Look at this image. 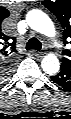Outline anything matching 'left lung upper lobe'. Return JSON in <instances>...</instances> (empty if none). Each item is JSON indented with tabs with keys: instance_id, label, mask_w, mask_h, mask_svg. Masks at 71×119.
Returning a JSON list of instances; mask_svg holds the SVG:
<instances>
[{
	"instance_id": "1",
	"label": "left lung upper lobe",
	"mask_w": 71,
	"mask_h": 119,
	"mask_svg": "<svg viewBox=\"0 0 71 119\" xmlns=\"http://www.w3.org/2000/svg\"><path fill=\"white\" fill-rule=\"evenodd\" d=\"M42 4L48 8L60 21L64 28V45L68 44V40L71 38V0H58L42 1ZM63 54L66 56L63 58L62 64L64 66L71 67V51L68 49L63 50Z\"/></svg>"
}]
</instances>
